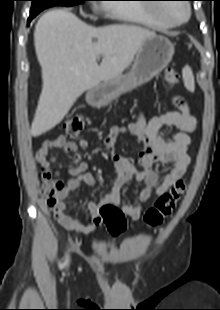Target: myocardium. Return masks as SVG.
<instances>
[{"label": "myocardium", "instance_id": "f54148a6", "mask_svg": "<svg viewBox=\"0 0 220 310\" xmlns=\"http://www.w3.org/2000/svg\"><path fill=\"white\" fill-rule=\"evenodd\" d=\"M186 10V15L183 19L181 20H172L166 16H163L161 13H160V8H152L151 9V12L153 14L154 17H156L157 19L165 22L166 24H168L169 26L171 27H174V26H180L182 24H184L185 22H187V20L189 19L190 17V14H191V8L189 6V4H182Z\"/></svg>", "mask_w": 220, "mask_h": 310}]
</instances>
